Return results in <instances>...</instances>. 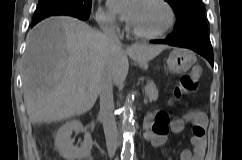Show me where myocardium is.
I'll return each mask as SVG.
<instances>
[{
	"mask_svg": "<svg viewBox=\"0 0 242 160\" xmlns=\"http://www.w3.org/2000/svg\"><path fill=\"white\" fill-rule=\"evenodd\" d=\"M155 2H158L160 4H162L168 11L169 13V21L167 23V25L159 32L156 33H152V34H147V33H142L136 29H134L130 24H129V30L130 32L140 38V39H144V40H155L158 38L163 37L164 35H166L170 30H172V28L174 27L175 23H176V12L174 7L171 5V3L168 0H154Z\"/></svg>",
	"mask_w": 242,
	"mask_h": 160,
	"instance_id": "1",
	"label": "myocardium"
}]
</instances>
